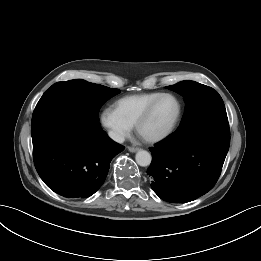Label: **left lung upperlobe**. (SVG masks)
Here are the masks:
<instances>
[{"instance_id": "1", "label": "left lung upper lobe", "mask_w": 261, "mask_h": 261, "mask_svg": "<svg viewBox=\"0 0 261 261\" xmlns=\"http://www.w3.org/2000/svg\"><path fill=\"white\" fill-rule=\"evenodd\" d=\"M167 88L182 95L186 102L178 130L190 128L205 120L227 116L221 96L211 87L194 81H181Z\"/></svg>"}]
</instances>
